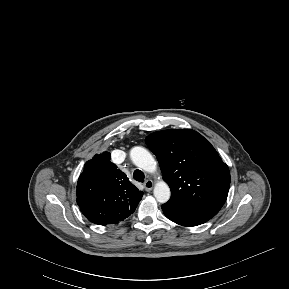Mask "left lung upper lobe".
Returning <instances> with one entry per match:
<instances>
[{
	"instance_id": "1",
	"label": "left lung upper lobe",
	"mask_w": 289,
	"mask_h": 289,
	"mask_svg": "<svg viewBox=\"0 0 289 289\" xmlns=\"http://www.w3.org/2000/svg\"><path fill=\"white\" fill-rule=\"evenodd\" d=\"M145 141L171 189L169 201L216 215L227 199L230 172L214 147L191 129L158 131Z\"/></svg>"
}]
</instances>
